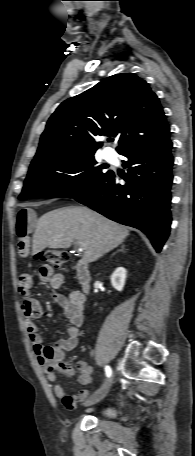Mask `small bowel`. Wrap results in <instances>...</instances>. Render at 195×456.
I'll return each instance as SVG.
<instances>
[{
  "instance_id": "small-bowel-1",
  "label": "small bowel",
  "mask_w": 195,
  "mask_h": 456,
  "mask_svg": "<svg viewBox=\"0 0 195 456\" xmlns=\"http://www.w3.org/2000/svg\"><path fill=\"white\" fill-rule=\"evenodd\" d=\"M33 226V213L22 209L18 212L15 222V232L18 237V253L21 257L29 254L30 234ZM38 277L42 282L49 283L54 290V300L61 307L64 316L70 325L67 329V336L57 340L51 346H44L43 336L39 333L35 320L42 315L40 302L29 296L32 287V277L29 274H22L18 280V292L24 298L21 302V310L25 317V326L29 340L36 354L38 363L44 368L47 380L52 384L53 392L61 399L67 409H74L77 404L86 399L88 390L82 389L76 395L69 396L59 384L54 371L58 363L62 362L66 353L75 349L78 345L79 328L84 321L85 297L79 291L62 292L64 276L54 273L49 265H41L38 270ZM79 371V382L87 385L91 381L92 368L84 361L77 362Z\"/></svg>"
}]
</instances>
